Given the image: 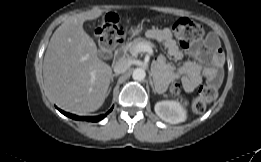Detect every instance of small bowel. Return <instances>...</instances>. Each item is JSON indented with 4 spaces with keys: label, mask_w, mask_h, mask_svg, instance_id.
<instances>
[{
    "label": "small bowel",
    "mask_w": 261,
    "mask_h": 162,
    "mask_svg": "<svg viewBox=\"0 0 261 162\" xmlns=\"http://www.w3.org/2000/svg\"><path fill=\"white\" fill-rule=\"evenodd\" d=\"M149 36L161 43L168 53L177 60L182 59L183 52L179 49L172 32L168 28L154 29ZM188 53L197 59L187 61L175 69L166 63L164 56L156 59V67L167 81L179 79L186 92H192L203 79L219 86L222 81L221 68L224 64V53L215 35H208L204 40L195 41Z\"/></svg>",
    "instance_id": "obj_1"
}]
</instances>
